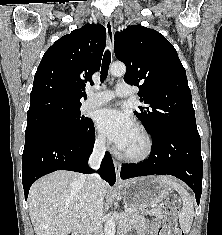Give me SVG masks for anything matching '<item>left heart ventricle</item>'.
Returning a JSON list of instances; mask_svg holds the SVG:
<instances>
[{
  "mask_svg": "<svg viewBox=\"0 0 222 235\" xmlns=\"http://www.w3.org/2000/svg\"><path fill=\"white\" fill-rule=\"evenodd\" d=\"M143 148H144V140L142 136L135 129L129 143L127 144L123 152L138 153L142 151Z\"/></svg>",
  "mask_w": 222,
  "mask_h": 235,
  "instance_id": "b2bd125f",
  "label": "left heart ventricle"
}]
</instances>
